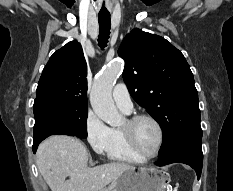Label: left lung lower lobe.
<instances>
[{
    "label": "left lung lower lobe",
    "mask_w": 233,
    "mask_h": 191,
    "mask_svg": "<svg viewBox=\"0 0 233 191\" xmlns=\"http://www.w3.org/2000/svg\"><path fill=\"white\" fill-rule=\"evenodd\" d=\"M202 136L187 137L171 148L161 157L157 166H164L174 162H181L191 166L197 173L198 179L202 172Z\"/></svg>",
    "instance_id": "1"
}]
</instances>
